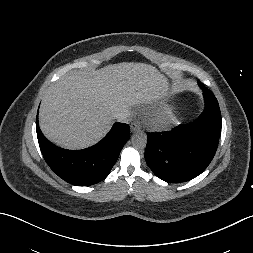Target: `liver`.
Returning <instances> with one entry per match:
<instances>
[{
  "label": "liver",
  "mask_w": 253,
  "mask_h": 253,
  "mask_svg": "<svg viewBox=\"0 0 253 253\" xmlns=\"http://www.w3.org/2000/svg\"><path fill=\"white\" fill-rule=\"evenodd\" d=\"M168 89V79L144 63L122 62L91 72L74 70L45 93L40 128L58 146L83 149L109 132L116 113L159 99Z\"/></svg>",
  "instance_id": "1"
}]
</instances>
